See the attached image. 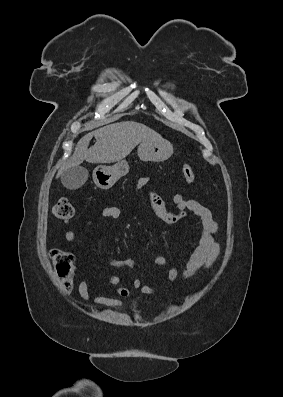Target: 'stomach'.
Masks as SVG:
<instances>
[{
	"instance_id": "stomach-1",
	"label": "stomach",
	"mask_w": 283,
	"mask_h": 397,
	"mask_svg": "<svg viewBox=\"0 0 283 397\" xmlns=\"http://www.w3.org/2000/svg\"><path fill=\"white\" fill-rule=\"evenodd\" d=\"M137 152L140 160L144 162H162L173 154V146L163 138L147 140L140 144ZM128 172L129 165L125 160L118 161L112 166L99 165L93 171V180L99 188L109 189Z\"/></svg>"
}]
</instances>
